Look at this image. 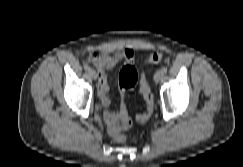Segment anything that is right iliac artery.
Segmentation results:
<instances>
[{"label": "right iliac artery", "instance_id": "1", "mask_svg": "<svg viewBox=\"0 0 243 167\" xmlns=\"http://www.w3.org/2000/svg\"><path fill=\"white\" fill-rule=\"evenodd\" d=\"M84 69H85L86 71H89L91 68H90V66H89L88 64H86V65H84Z\"/></svg>", "mask_w": 243, "mask_h": 167}]
</instances>
